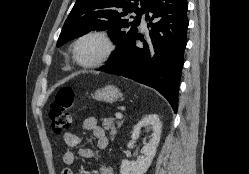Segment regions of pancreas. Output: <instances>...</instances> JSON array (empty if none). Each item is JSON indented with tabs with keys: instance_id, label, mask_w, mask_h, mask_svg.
Listing matches in <instances>:
<instances>
[{
	"instance_id": "1",
	"label": "pancreas",
	"mask_w": 249,
	"mask_h": 174,
	"mask_svg": "<svg viewBox=\"0 0 249 174\" xmlns=\"http://www.w3.org/2000/svg\"><path fill=\"white\" fill-rule=\"evenodd\" d=\"M122 122L116 121L114 118H104L103 119V127L106 130H111L110 131V136L111 138H114L115 135L117 134V127H120Z\"/></svg>"
}]
</instances>
